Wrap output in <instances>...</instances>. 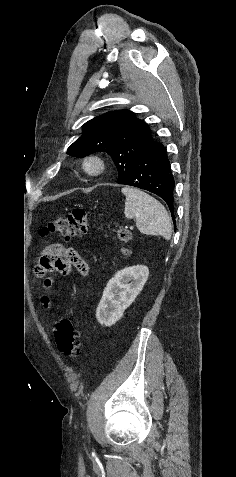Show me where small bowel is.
Here are the masks:
<instances>
[{
  "label": "small bowel",
  "instance_id": "c3829d8e",
  "mask_svg": "<svg viewBox=\"0 0 236 477\" xmlns=\"http://www.w3.org/2000/svg\"><path fill=\"white\" fill-rule=\"evenodd\" d=\"M50 248L54 251H50L41 257L38 266L39 273L56 271L62 275H67L73 268H78L83 271L87 270L85 261L74 249L65 248L59 244L51 245ZM50 284L51 282L47 280L46 285L49 286ZM42 302L45 307L52 308L49 295L43 296Z\"/></svg>",
  "mask_w": 236,
  "mask_h": 477
}]
</instances>
